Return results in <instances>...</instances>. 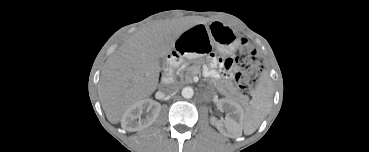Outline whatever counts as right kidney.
<instances>
[{
	"label": "right kidney",
	"instance_id": "right-kidney-1",
	"mask_svg": "<svg viewBox=\"0 0 369 152\" xmlns=\"http://www.w3.org/2000/svg\"><path fill=\"white\" fill-rule=\"evenodd\" d=\"M144 110H147L148 114L142 118ZM160 110V103L152 99H143L125 111L122 121L129 131H138L150 126L157 119Z\"/></svg>",
	"mask_w": 369,
	"mask_h": 152
}]
</instances>
